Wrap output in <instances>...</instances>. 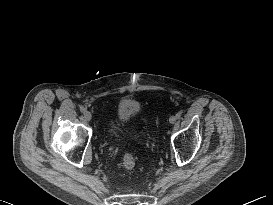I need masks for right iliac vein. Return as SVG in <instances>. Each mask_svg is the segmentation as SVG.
Segmentation results:
<instances>
[{
	"instance_id": "63e3f726",
	"label": "right iliac vein",
	"mask_w": 273,
	"mask_h": 205,
	"mask_svg": "<svg viewBox=\"0 0 273 205\" xmlns=\"http://www.w3.org/2000/svg\"><path fill=\"white\" fill-rule=\"evenodd\" d=\"M84 118L86 121H91L92 119V114L89 111L84 112Z\"/></svg>"
}]
</instances>
